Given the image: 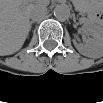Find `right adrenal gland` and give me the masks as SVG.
Listing matches in <instances>:
<instances>
[{
    "label": "right adrenal gland",
    "mask_w": 103,
    "mask_h": 103,
    "mask_svg": "<svg viewBox=\"0 0 103 103\" xmlns=\"http://www.w3.org/2000/svg\"><path fill=\"white\" fill-rule=\"evenodd\" d=\"M33 23H35V22H34V21H31V22H30V25H29L30 30H31V27H32V24H33Z\"/></svg>",
    "instance_id": "2a0ac1e0"
}]
</instances>
